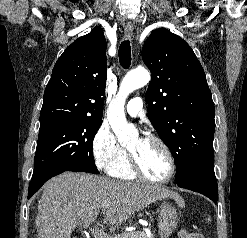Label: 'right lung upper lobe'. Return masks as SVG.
<instances>
[{
	"instance_id": "1",
	"label": "right lung upper lobe",
	"mask_w": 247,
	"mask_h": 238,
	"mask_svg": "<svg viewBox=\"0 0 247 238\" xmlns=\"http://www.w3.org/2000/svg\"><path fill=\"white\" fill-rule=\"evenodd\" d=\"M105 48L103 31L95 27L65 49L44 92L40 126L102 119L107 78Z\"/></svg>"
}]
</instances>
